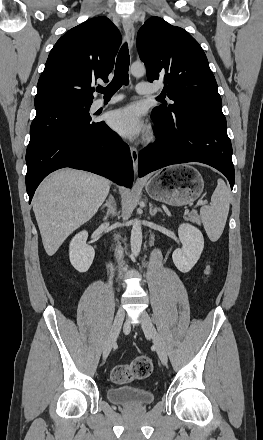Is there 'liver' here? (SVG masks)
<instances>
[{"mask_svg":"<svg viewBox=\"0 0 263 440\" xmlns=\"http://www.w3.org/2000/svg\"><path fill=\"white\" fill-rule=\"evenodd\" d=\"M109 189L108 179L72 169L58 170L42 182L33 200V211L49 256L96 214Z\"/></svg>","mask_w":263,"mask_h":440,"instance_id":"6515ba94","label":"liver"}]
</instances>
